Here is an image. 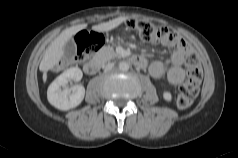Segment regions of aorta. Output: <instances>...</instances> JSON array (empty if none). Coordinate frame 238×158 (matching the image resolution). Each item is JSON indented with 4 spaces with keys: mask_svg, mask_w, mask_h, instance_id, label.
Wrapping results in <instances>:
<instances>
[{
    "mask_svg": "<svg viewBox=\"0 0 238 158\" xmlns=\"http://www.w3.org/2000/svg\"><path fill=\"white\" fill-rule=\"evenodd\" d=\"M129 63L128 62H125V61H122L119 63V69L121 71H128L129 70Z\"/></svg>",
    "mask_w": 238,
    "mask_h": 158,
    "instance_id": "762f6f07",
    "label": "aorta"
}]
</instances>
